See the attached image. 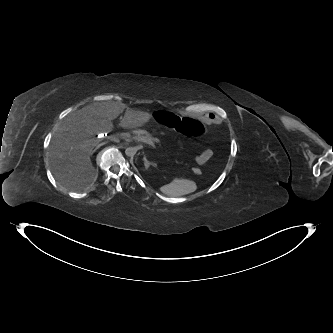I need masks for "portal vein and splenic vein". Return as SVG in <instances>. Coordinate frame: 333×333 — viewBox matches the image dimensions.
Returning <instances> with one entry per match:
<instances>
[{"label":"portal vein and splenic vein","instance_id":"obj_1","mask_svg":"<svg viewBox=\"0 0 333 333\" xmlns=\"http://www.w3.org/2000/svg\"><path fill=\"white\" fill-rule=\"evenodd\" d=\"M121 137H122V138H128V137H129V134H128V133H123V134L121 135ZM138 141H141V142H144V143L150 144V145H152V146L155 148V146H154V144L152 143V141L147 140V139H145V138H143V137L139 138Z\"/></svg>","mask_w":333,"mask_h":333}]
</instances>
